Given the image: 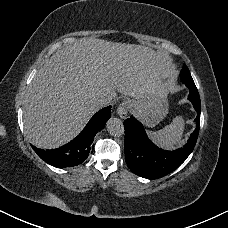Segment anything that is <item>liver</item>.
Returning a JSON list of instances; mask_svg holds the SVG:
<instances>
[{"mask_svg":"<svg viewBox=\"0 0 228 228\" xmlns=\"http://www.w3.org/2000/svg\"><path fill=\"white\" fill-rule=\"evenodd\" d=\"M178 74L166 52L77 39L47 59L30 83L23 106L27 137L37 148H58L75 138L96 112L89 94L114 99L117 92L135 97L158 90L167 96Z\"/></svg>","mask_w":228,"mask_h":228,"instance_id":"1","label":"liver"}]
</instances>
